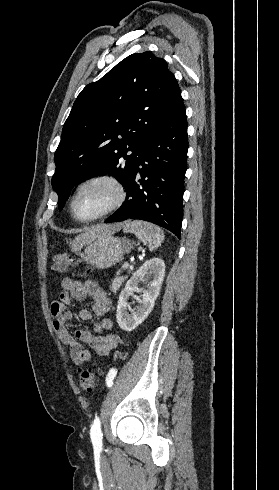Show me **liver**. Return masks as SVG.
<instances>
[{
  "label": "liver",
  "instance_id": "obj_1",
  "mask_svg": "<svg viewBox=\"0 0 279 490\" xmlns=\"http://www.w3.org/2000/svg\"><path fill=\"white\" fill-rule=\"evenodd\" d=\"M124 224H110V226H92V228H85L84 234H80L75 238L74 242L78 248L87 244L88 240H96L101 236H108V234H115L123 228Z\"/></svg>",
  "mask_w": 279,
  "mask_h": 490
}]
</instances>
